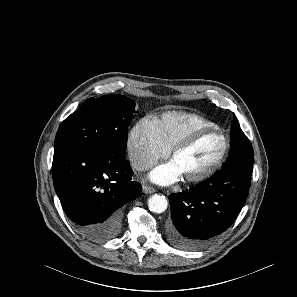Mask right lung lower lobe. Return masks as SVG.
Wrapping results in <instances>:
<instances>
[{"label": "right lung lower lobe", "instance_id": "98d812e1", "mask_svg": "<svg viewBox=\"0 0 297 297\" xmlns=\"http://www.w3.org/2000/svg\"><path fill=\"white\" fill-rule=\"evenodd\" d=\"M124 155L93 146L55 148L52 177L66 215L77 231L106 241L120 231L122 206L140 195Z\"/></svg>", "mask_w": 297, "mask_h": 297}]
</instances>
